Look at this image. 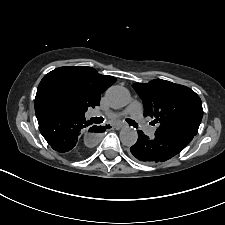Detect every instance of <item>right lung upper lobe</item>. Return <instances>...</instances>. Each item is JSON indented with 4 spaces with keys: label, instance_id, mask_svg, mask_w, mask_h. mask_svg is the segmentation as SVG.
Listing matches in <instances>:
<instances>
[{
    "label": "right lung upper lobe",
    "instance_id": "cb5924a9",
    "mask_svg": "<svg viewBox=\"0 0 225 225\" xmlns=\"http://www.w3.org/2000/svg\"><path fill=\"white\" fill-rule=\"evenodd\" d=\"M115 81L114 77L101 75L91 67L56 68L41 80L35 102L51 104V100L57 97L79 114H84L88 107L99 105L100 95Z\"/></svg>",
    "mask_w": 225,
    "mask_h": 225
}]
</instances>
